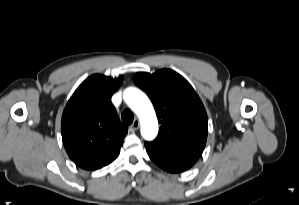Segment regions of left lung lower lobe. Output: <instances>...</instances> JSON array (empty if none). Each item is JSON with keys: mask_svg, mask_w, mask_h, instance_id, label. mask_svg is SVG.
<instances>
[{"mask_svg": "<svg viewBox=\"0 0 299 205\" xmlns=\"http://www.w3.org/2000/svg\"><path fill=\"white\" fill-rule=\"evenodd\" d=\"M205 144L177 138L145 142L151 160L170 173H179L192 167L201 156Z\"/></svg>", "mask_w": 299, "mask_h": 205, "instance_id": "obj_1", "label": "left lung lower lobe"}]
</instances>
